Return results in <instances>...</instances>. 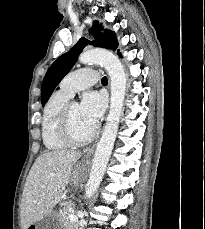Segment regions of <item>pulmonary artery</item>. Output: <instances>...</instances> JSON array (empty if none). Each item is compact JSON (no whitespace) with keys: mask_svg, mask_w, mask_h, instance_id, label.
<instances>
[{"mask_svg":"<svg viewBox=\"0 0 205 229\" xmlns=\"http://www.w3.org/2000/svg\"><path fill=\"white\" fill-rule=\"evenodd\" d=\"M98 81V74L92 68H81L69 73L61 81L59 90L72 97L77 91L85 89Z\"/></svg>","mask_w":205,"mask_h":229,"instance_id":"1","label":"pulmonary artery"}]
</instances>
